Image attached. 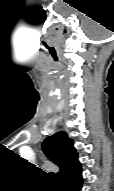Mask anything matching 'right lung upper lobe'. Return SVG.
Listing matches in <instances>:
<instances>
[{"mask_svg":"<svg viewBox=\"0 0 114 191\" xmlns=\"http://www.w3.org/2000/svg\"><path fill=\"white\" fill-rule=\"evenodd\" d=\"M42 147L46 156L60 168V171L54 176L57 181L80 169L73 142L65 132H59L46 138Z\"/></svg>","mask_w":114,"mask_h":191,"instance_id":"1","label":"right lung upper lobe"}]
</instances>
